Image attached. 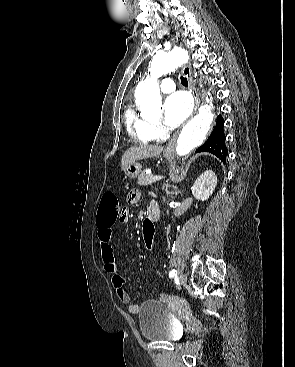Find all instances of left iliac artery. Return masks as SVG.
I'll return each instance as SVG.
<instances>
[{
    "label": "left iliac artery",
    "mask_w": 295,
    "mask_h": 367,
    "mask_svg": "<svg viewBox=\"0 0 295 367\" xmlns=\"http://www.w3.org/2000/svg\"><path fill=\"white\" fill-rule=\"evenodd\" d=\"M177 276V271L175 269H172L169 273V277H176Z\"/></svg>",
    "instance_id": "1"
}]
</instances>
